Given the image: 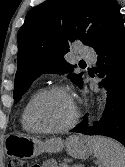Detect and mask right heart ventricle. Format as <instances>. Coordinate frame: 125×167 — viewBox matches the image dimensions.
Masks as SVG:
<instances>
[{
  "mask_svg": "<svg viewBox=\"0 0 125 167\" xmlns=\"http://www.w3.org/2000/svg\"><path fill=\"white\" fill-rule=\"evenodd\" d=\"M39 92H40V90L37 89L36 91H34L32 93V95L29 97V99L27 100V102L25 103V105L23 106V109L21 111L20 122H21L23 129L28 131V132H35L34 128L32 127V125L30 123L28 113H29V107H30L33 99L36 97V95Z\"/></svg>",
  "mask_w": 125,
  "mask_h": 167,
  "instance_id": "e07e8e85",
  "label": "right heart ventricle"
}]
</instances>
